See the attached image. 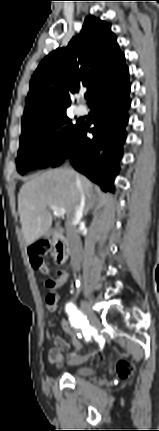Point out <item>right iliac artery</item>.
<instances>
[{
  "label": "right iliac artery",
  "instance_id": "obj_1",
  "mask_svg": "<svg viewBox=\"0 0 159 431\" xmlns=\"http://www.w3.org/2000/svg\"><path fill=\"white\" fill-rule=\"evenodd\" d=\"M65 309L69 315L71 325L75 328L81 329L85 336V339L89 341L94 330L89 325L88 321L86 320V317L83 316V314L73 303H67Z\"/></svg>",
  "mask_w": 159,
  "mask_h": 431
}]
</instances>
